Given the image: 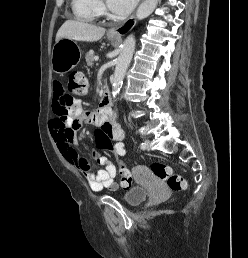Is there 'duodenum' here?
Returning <instances> with one entry per match:
<instances>
[{"label": "duodenum", "mask_w": 248, "mask_h": 258, "mask_svg": "<svg viewBox=\"0 0 248 258\" xmlns=\"http://www.w3.org/2000/svg\"><path fill=\"white\" fill-rule=\"evenodd\" d=\"M101 112L103 114L108 115L109 117L112 116V109H111V95L108 89H105L102 95V105L100 107Z\"/></svg>", "instance_id": "1"}]
</instances>
